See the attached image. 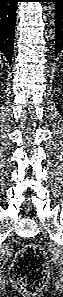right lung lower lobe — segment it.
Instances as JSON below:
<instances>
[{
	"label": "right lung lower lobe",
	"mask_w": 63,
	"mask_h": 297,
	"mask_svg": "<svg viewBox=\"0 0 63 297\" xmlns=\"http://www.w3.org/2000/svg\"><path fill=\"white\" fill-rule=\"evenodd\" d=\"M19 0H0V51L12 62L16 5Z\"/></svg>",
	"instance_id": "obj_1"
}]
</instances>
